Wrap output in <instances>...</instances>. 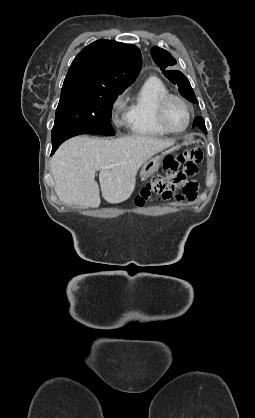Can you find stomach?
<instances>
[{"mask_svg":"<svg viewBox=\"0 0 255 418\" xmlns=\"http://www.w3.org/2000/svg\"><path fill=\"white\" fill-rule=\"evenodd\" d=\"M193 142H194V140L192 138H188V139L184 140L182 144L183 145H188V144H191ZM179 147H180V145H177L173 149H177ZM172 150H167V151H165V153L171 152ZM160 159H161V156H157V157H154L152 159H149L147 162L144 163V165H143V167L140 171V177L143 180L147 179L154 172H156L158 170V168L160 166Z\"/></svg>","mask_w":255,"mask_h":418,"instance_id":"0dacf381","label":"stomach"}]
</instances>
